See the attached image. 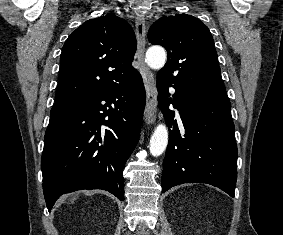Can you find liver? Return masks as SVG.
<instances>
[{"label":"liver","mask_w":283,"mask_h":235,"mask_svg":"<svg viewBox=\"0 0 283 235\" xmlns=\"http://www.w3.org/2000/svg\"><path fill=\"white\" fill-rule=\"evenodd\" d=\"M75 200V197L72 199V201H74Z\"/></svg>","instance_id":"1"}]
</instances>
